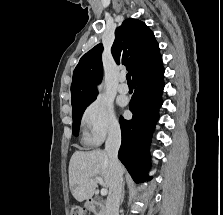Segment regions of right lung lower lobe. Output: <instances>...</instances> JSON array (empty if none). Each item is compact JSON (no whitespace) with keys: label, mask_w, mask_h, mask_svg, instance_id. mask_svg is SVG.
Returning <instances> with one entry per match:
<instances>
[{"label":"right lung lower lobe","mask_w":223,"mask_h":215,"mask_svg":"<svg viewBox=\"0 0 223 215\" xmlns=\"http://www.w3.org/2000/svg\"><path fill=\"white\" fill-rule=\"evenodd\" d=\"M163 77L162 67L157 72L134 81L135 93L129 104L133 117L131 120L120 117L122 143L118 157L137 183L151 180L146 174L149 167V145L158 120V109L162 105Z\"/></svg>","instance_id":"right-lung-lower-lobe-1"}]
</instances>
